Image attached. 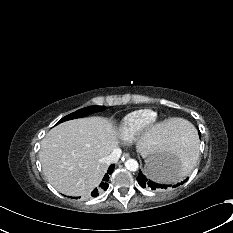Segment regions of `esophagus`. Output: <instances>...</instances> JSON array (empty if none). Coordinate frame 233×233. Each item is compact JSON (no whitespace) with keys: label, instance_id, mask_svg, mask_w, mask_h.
Here are the masks:
<instances>
[{"label":"esophagus","instance_id":"34e87169","mask_svg":"<svg viewBox=\"0 0 233 233\" xmlns=\"http://www.w3.org/2000/svg\"><path fill=\"white\" fill-rule=\"evenodd\" d=\"M129 157H130L129 153H124L123 154V158H129Z\"/></svg>","mask_w":233,"mask_h":233}]
</instances>
